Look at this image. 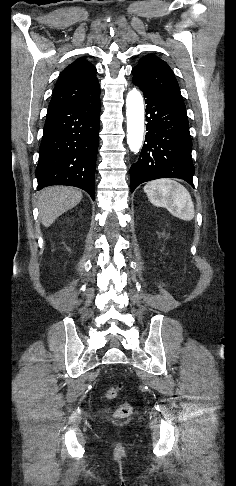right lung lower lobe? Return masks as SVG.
<instances>
[{
	"instance_id": "right-lung-lower-lobe-1",
	"label": "right lung lower lobe",
	"mask_w": 236,
	"mask_h": 486,
	"mask_svg": "<svg viewBox=\"0 0 236 486\" xmlns=\"http://www.w3.org/2000/svg\"><path fill=\"white\" fill-rule=\"evenodd\" d=\"M99 124L100 94L48 109L36 168L37 190L75 186L94 200Z\"/></svg>"
}]
</instances>
